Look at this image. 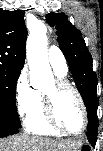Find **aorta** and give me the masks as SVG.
<instances>
[{
	"label": "aorta",
	"mask_w": 103,
	"mask_h": 151,
	"mask_svg": "<svg viewBox=\"0 0 103 151\" xmlns=\"http://www.w3.org/2000/svg\"><path fill=\"white\" fill-rule=\"evenodd\" d=\"M47 28L41 21H36L27 38L26 55L30 75L36 79L51 76V68L47 55Z\"/></svg>",
	"instance_id": "1"
}]
</instances>
